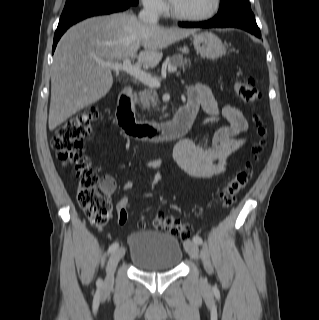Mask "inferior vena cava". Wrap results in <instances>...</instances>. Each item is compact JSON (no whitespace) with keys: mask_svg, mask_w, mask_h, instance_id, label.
I'll return each instance as SVG.
<instances>
[{"mask_svg":"<svg viewBox=\"0 0 319 320\" xmlns=\"http://www.w3.org/2000/svg\"><path fill=\"white\" fill-rule=\"evenodd\" d=\"M139 19L147 24H157L159 16L156 5L146 2L143 10L139 13Z\"/></svg>","mask_w":319,"mask_h":320,"instance_id":"1","label":"inferior vena cava"}]
</instances>
